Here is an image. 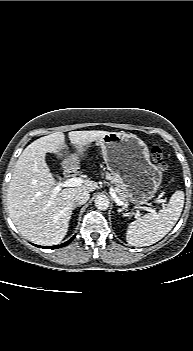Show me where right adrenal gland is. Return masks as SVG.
Returning a JSON list of instances; mask_svg holds the SVG:
<instances>
[{
	"instance_id": "obj_1",
	"label": "right adrenal gland",
	"mask_w": 193,
	"mask_h": 351,
	"mask_svg": "<svg viewBox=\"0 0 193 351\" xmlns=\"http://www.w3.org/2000/svg\"><path fill=\"white\" fill-rule=\"evenodd\" d=\"M76 207H80V205H78V204H77V205H74L73 208H72V210H74Z\"/></svg>"
}]
</instances>
